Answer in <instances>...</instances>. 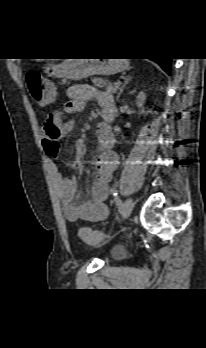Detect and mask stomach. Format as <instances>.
Listing matches in <instances>:
<instances>
[{
    "label": "stomach",
    "instance_id": "obj_1",
    "mask_svg": "<svg viewBox=\"0 0 206 348\" xmlns=\"http://www.w3.org/2000/svg\"><path fill=\"white\" fill-rule=\"evenodd\" d=\"M126 68L127 62L120 59H66L61 64L44 67V71L52 78L81 80L91 75H113ZM51 102L48 97L37 100L42 107Z\"/></svg>",
    "mask_w": 206,
    "mask_h": 348
}]
</instances>
